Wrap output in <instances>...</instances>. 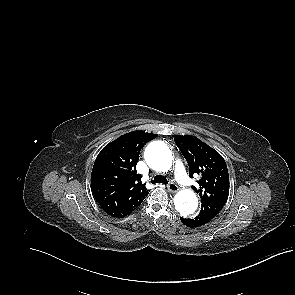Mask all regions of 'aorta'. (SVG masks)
Returning a JSON list of instances; mask_svg holds the SVG:
<instances>
[{"label": "aorta", "instance_id": "762f6f07", "mask_svg": "<svg viewBox=\"0 0 295 295\" xmlns=\"http://www.w3.org/2000/svg\"><path fill=\"white\" fill-rule=\"evenodd\" d=\"M147 163L158 171H167L172 165L173 156L168 146L162 141L151 142L145 150ZM174 205L182 217H191L198 209V198L190 190H180L174 198Z\"/></svg>", "mask_w": 295, "mask_h": 295}]
</instances>
